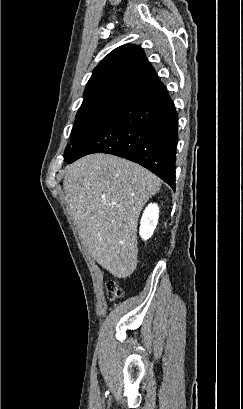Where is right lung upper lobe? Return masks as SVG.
Instances as JSON below:
<instances>
[{
	"instance_id": "right-lung-upper-lobe-1",
	"label": "right lung upper lobe",
	"mask_w": 243,
	"mask_h": 409,
	"mask_svg": "<svg viewBox=\"0 0 243 409\" xmlns=\"http://www.w3.org/2000/svg\"><path fill=\"white\" fill-rule=\"evenodd\" d=\"M158 80L141 47L127 44L114 49L94 69L83 102L125 100Z\"/></svg>"
}]
</instances>
